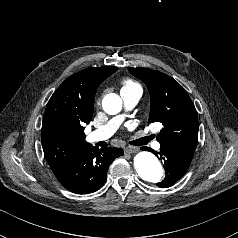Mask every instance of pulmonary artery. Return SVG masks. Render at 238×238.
I'll return each instance as SVG.
<instances>
[{"instance_id":"obj_1","label":"pulmonary artery","mask_w":238,"mask_h":238,"mask_svg":"<svg viewBox=\"0 0 238 238\" xmlns=\"http://www.w3.org/2000/svg\"><path fill=\"white\" fill-rule=\"evenodd\" d=\"M140 96H141V93H139L137 91H123V92H121V97L123 99L125 108L127 110H131L132 108H134L137 105V103L140 99ZM123 119H124L123 115H119V116L112 118L110 121H108L102 127L90 132L87 135V141L95 142V141H101V140L108 139L118 129V127L122 123ZM152 145H153L154 149L160 148V143L157 141L153 142Z\"/></svg>"}]
</instances>
